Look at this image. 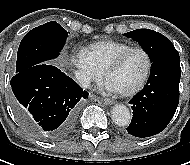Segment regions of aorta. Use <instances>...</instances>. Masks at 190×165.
I'll return each instance as SVG.
<instances>
[{
    "instance_id": "obj_1",
    "label": "aorta",
    "mask_w": 190,
    "mask_h": 165,
    "mask_svg": "<svg viewBox=\"0 0 190 165\" xmlns=\"http://www.w3.org/2000/svg\"><path fill=\"white\" fill-rule=\"evenodd\" d=\"M112 120L117 126H126L131 121L129 109L124 105H116L112 109Z\"/></svg>"
}]
</instances>
